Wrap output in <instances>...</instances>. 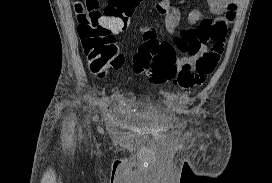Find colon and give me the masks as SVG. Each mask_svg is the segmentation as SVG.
<instances>
[{"label":"colon","mask_w":272,"mask_h":183,"mask_svg":"<svg viewBox=\"0 0 272 183\" xmlns=\"http://www.w3.org/2000/svg\"><path fill=\"white\" fill-rule=\"evenodd\" d=\"M140 0H108L101 10L98 0H82L74 5L77 33L88 59L89 69L103 75L124 63L115 42V33L127 28L129 19ZM223 39L215 40L194 67L178 68L175 48L164 41L152 40L141 44L133 58L135 73L145 72L155 84L173 81L183 89L202 85L213 73L223 53Z\"/></svg>","instance_id":"1"}]
</instances>
